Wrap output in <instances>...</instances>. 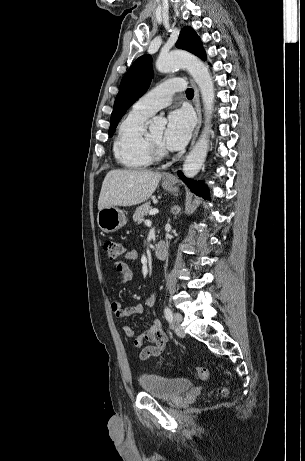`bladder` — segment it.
<instances>
[{
	"instance_id": "1",
	"label": "bladder",
	"mask_w": 305,
	"mask_h": 461,
	"mask_svg": "<svg viewBox=\"0 0 305 461\" xmlns=\"http://www.w3.org/2000/svg\"><path fill=\"white\" fill-rule=\"evenodd\" d=\"M141 390L164 400L173 401L192 387L185 378L164 377L157 374H142L138 377Z\"/></svg>"
}]
</instances>
